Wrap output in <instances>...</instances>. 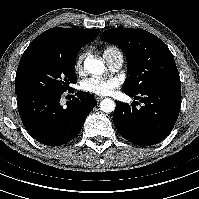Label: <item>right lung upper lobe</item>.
Wrapping results in <instances>:
<instances>
[{"label":"right lung upper lobe","instance_id":"1","mask_svg":"<svg viewBox=\"0 0 199 199\" xmlns=\"http://www.w3.org/2000/svg\"><path fill=\"white\" fill-rule=\"evenodd\" d=\"M99 32L98 29L54 27L36 37L30 46H45L64 54H73L94 41Z\"/></svg>","mask_w":199,"mask_h":199}]
</instances>
